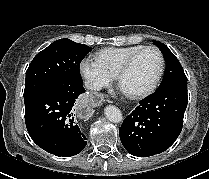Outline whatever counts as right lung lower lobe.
<instances>
[{
    "label": "right lung lower lobe",
    "instance_id": "obj_1",
    "mask_svg": "<svg viewBox=\"0 0 209 179\" xmlns=\"http://www.w3.org/2000/svg\"><path fill=\"white\" fill-rule=\"evenodd\" d=\"M85 92L82 83L54 85L25 105V123L32 140L56 156H74L86 146V137L74 118L73 105Z\"/></svg>",
    "mask_w": 209,
    "mask_h": 179
}]
</instances>
